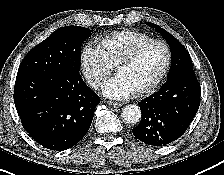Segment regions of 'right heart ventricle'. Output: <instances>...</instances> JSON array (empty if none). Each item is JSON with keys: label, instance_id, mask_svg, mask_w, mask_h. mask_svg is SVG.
I'll use <instances>...</instances> for the list:
<instances>
[{"label": "right heart ventricle", "instance_id": "1", "mask_svg": "<svg viewBox=\"0 0 224 175\" xmlns=\"http://www.w3.org/2000/svg\"><path fill=\"white\" fill-rule=\"evenodd\" d=\"M152 39L150 36L137 31H120L107 35L100 40L99 47L115 66L120 59L143 42Z\"/></svg>", "mask_w": 224, "mask_h": 175}]
</instances>
